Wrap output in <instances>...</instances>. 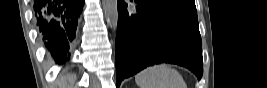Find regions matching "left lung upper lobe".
Here are the masks:
<instances>
[{
	"label": "left lung upper lobe",
	"mask_w": 267,
	"mask_h": 88,
	"mask_svg": "<svg viewBox=\"0 0 267 88\" xmlns=\"http://www.w3.org/2000/svg\"><path fill=\"white\" fill-rule=\"evenodd\" d=\"M135 1L141 2L147 7L172 10L197 17V11L194 0H135Z\"/></svg>",
	"instance_id": "1"
}]
</instances>
